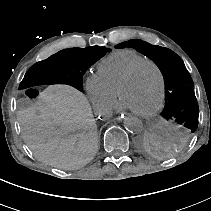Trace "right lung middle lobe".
Masks as SVG:
<instances>
[{
    "label": "right lung middle lobe",
    "instance_id": "right-lung-middle-lobe-1",
    "mask_svg": "<svg viewBox=\"0 0 211 211\" xmlns=\"http://www.w3.org/2000/svg\"><path fill=\"white\" fill-rule=\"evenodd\" d=\"M109 51L99 46L64 49L34 64L24 80L29 86L68 84L83 91V74Z\"/></svg>",
    "mask_w": 211,
    "mask_h": 211
}]
</instances>
